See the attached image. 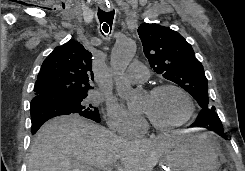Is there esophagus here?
<instances>
[{
  "mask_svg": "<svg viewBox=\"0 0 245 171\" xmlns=\"http://www.w3.org/2000/svg\"><path fill=\"white\" fill-rule=\"evenodd\" d=\"M101 8L105 11H112L114 9L113 5L108 4H100Z\"/></svg>",
  "mask_w": 245,
  "mask_h": 171,
  "instance_id": "esophagus-1",
  "label": "esophagus"
}]
</instances>
